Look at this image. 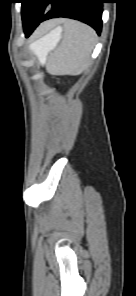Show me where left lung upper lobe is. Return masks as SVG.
I'll use <instances>...</instances> for the list:
<instances>
[{
	"mask_svg": "<svg viewBox=\"0 0 136 296\" xmlns=\"http://www.w3.org/2000/svg\"><path fill=\"white\" fill-rule=\"evenodd\" d=\"M53 0H23L22 19L24 29L39 22L45 14V8Z\"/></svg>",
	"mask_w": 136,
	"mask_h": 296,
	"instance_id": "1",
	"label": "left lung upper lobe"
}]
</instances>
